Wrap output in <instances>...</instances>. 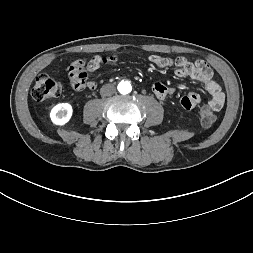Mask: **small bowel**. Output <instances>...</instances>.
Instances as JSON below:
<instances>
[{
	"label": "small bowel",
	"instance_id": "small-bowel-1",
	"mask_svg": "<svg viewBox=\"0 0 253 253\" xmlns=\"http://www.w3.org/2000/svg\"><path fill=\"white\" fill-rule=\"evenodd\" d=\"M149 60L153 63V67L159 70L164 67L170 68L172 65L177 67L176 74L179 77H191L202 82L210 94L209 105L212 109L219 111L224 106L225 96L219 83L214 79L211 69L202 61L190 62L185 58H163L152 55ZM155 96L159 100H165L172 92V88L161 82H155L152 86ZM200 94L196 91H190L181 98L180 107L183 110H190L200 102Z\"/></svg>",
	"mask_w": 253,
	"mask_h": 253
}]
</instances>
